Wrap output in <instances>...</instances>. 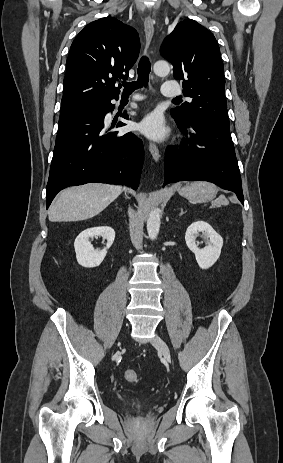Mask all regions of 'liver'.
Returning <instances> with one entry per match:
<instances>
[{"label": "liver", "instance_id": "obj_1", "mask_svg": "<svg viewBox=\"0 0 283 463\" xmlns=\"http://www.w3.org/2000/svg\"><path fill=\"white\" fill-rule=\"evenodd\" d=\"M121 192L120 186L102 183L64 189L48 211L49 221L74 222L90 219L102 212Z\"/></svg>", "mask_w": 283, "mask_h": 463}]
</instances>
